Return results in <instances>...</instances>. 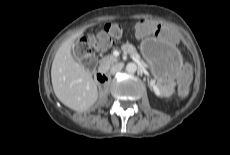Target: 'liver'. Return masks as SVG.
<instances>
[{
    "label": "liver",
    "instance_id": "6515ba94",
    "mask_svg": "<svg viewBox=\"0 0 230 155\" xmlns=\"http://www.w3.org/2000/svg\"><path fill=\"white\" fill-rule=\"evenodd\" d=\"M84 29L73 34L59 47L55 54L51 80L56 97L65 106L78 111H87L98 99L97 84L91 73L77 63L71 48Z\"/></svg>",
    "mask_w": 230,
    "mask_h": 155
}]
</instances>
